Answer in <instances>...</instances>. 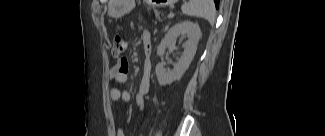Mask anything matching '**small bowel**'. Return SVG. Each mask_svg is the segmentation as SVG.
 Returning a JSON list of instances; mask_svg holds the SVG:
<instances>
[{"mask_svg": "<svg viewBox=\"0 0 325 136\" xmlns=\"http://www.w3.org/2000/svg\"><path fill=\"white\" fill-rule=\"evenodd\" d=\"M146 48H149L151 36L149 33H145L143 37ZM129 62L127 59L119 60L109 72V78L114 83V86L110 89V99L112 102H129L131 94L127 91H122L118 88L119 84L126 83L129 78ZM151 77V62L149 57H145L143 63V69L139 80V89L135 96L136 106L140 109L146 107V98L150 88ZM117 136H124L121 129L116 131Z\"/></svg>", "mask_w": 325, "mask_h": 136, "instance_id": "obj_1", "label": "small bowel"}]
</instances>
